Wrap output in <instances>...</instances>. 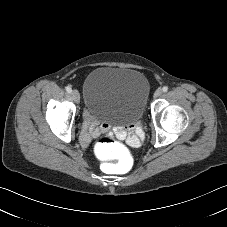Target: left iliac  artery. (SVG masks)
I'll return each mask as SVG.
<instances>
[{"mask_svg":"<svg viewBox=\"0 0 227 227\" xmlns=\"http://www.w3.org/2000/svg\"><path fill=\"white\" fill-rule=\"evenodd\" d=\"M162 90H163V92H167V91H168V87H167V86H164V87L162 88Z\"/></svg>","mask_w":227,"mask_h":227,"instance_id":"left-iliac-artery-1","label":"left iliac artery"}]
</instances>
